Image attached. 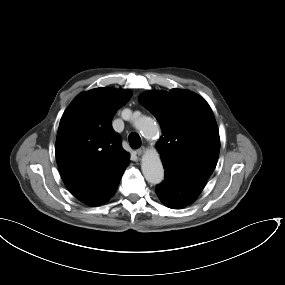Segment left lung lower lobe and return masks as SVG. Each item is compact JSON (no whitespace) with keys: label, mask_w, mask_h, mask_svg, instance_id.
<instances>
[{"label":"left lung lower lobe","mask_w":285,"mask_h":285,"mask_svg":"<svg viewBox=\"0 0 285 285\" xmlns=\"http://www.w3.org/2000/svg\"><path fill=\"white\" fill-rule=\"evenodd\" d=\"M165 180L156 186V194L164 205L181 209L193 203L206 185V181L164 166Z\"/></svg>","instance_id":"obj_1"}]
</instances>
